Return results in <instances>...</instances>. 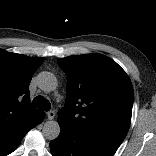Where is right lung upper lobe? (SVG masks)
I'll use <instances>...</instances> for the list:
<instances>
[{
  "instance_id": "1",
  "label": "right lung upper lobe",
  "mask_w": 156,
  "mask_h": 156,
  "mask_svg": "<svg viewBox=\"0 0 156 156\" xmlns=\"http://www.w3.org/2000/svg\"><path fill=\"white\" fill-rule=\"evenodd\" d=\"M43 58L0 50V133L25 128L42 113L30 105L29 84Z\"/></svg>"
}]
</instances>
